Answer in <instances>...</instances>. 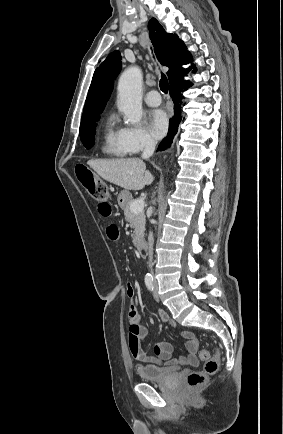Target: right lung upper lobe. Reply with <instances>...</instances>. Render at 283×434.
<instances>
[{"instance_id": "cb5924a9", "label": "right lung upper lobe", "mask_w": 283, "mask_h": 434, "mask_svg": "<svg viewBox=\"0 0 283 434\" xmlns=\"http://www.w3.org/2000/svg\"><path fill=\"white\" fill-rule=\"evenodd\" d=\"M149 35L154 45L159 62L169 67L167 72L170 84L175 80H182L194 64L183 69L181 66L192 61L191 54L186 50L185 44L176 34H168L162 25L152 18L148 23ZM121 70V55L114 51L94 72L92 82L86 98L81 125L93 122L100 118L113 90L114 79ZM196 68L193 69V72Z\"/></svg>"}]
</instances>
